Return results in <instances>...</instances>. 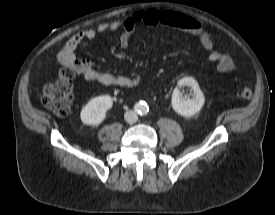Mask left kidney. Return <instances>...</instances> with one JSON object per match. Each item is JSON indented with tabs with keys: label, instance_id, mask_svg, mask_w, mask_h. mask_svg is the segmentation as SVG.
<instances>
[{
	"label": "left kidney",
	"instance_id": "5707ae66",
	"mask_svg": "<svg viewBox=\"0 0 275 215\" xmlns=\"http://www.w3.org/2000/svg\"><path fill=\"white\" fill-rule=\"evenodd\" d=\"M188 86L193 90V97H183L178 87ZM178 87L172 92V108L181 116L190 117L199 112L204 105L205 98L197 81L192 77H184L178 81Z\"/></svg>",
	"mask_w": 275,
	"mask_h": 215
}]
</instances>
